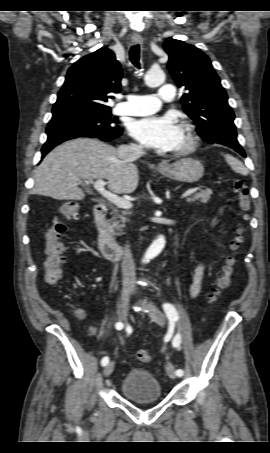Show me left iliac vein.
Masks as SVG:
<instances>
[{
    "label": "left iliac vein",
    "mask_w": 270,
    "mask_h": 453,
    "mask_svg": "<svg viewBox=\"0 0 270 453\" xmlns=\"http://www.w3.org/2000/svg\"><path fill=\"white\" fill-rule=\"evenodd\" d=\"M133 292L135 293L136 292V289L133 288ZM150 318L152 320H154L157 324H159L160 326H164L165 325V316L164 314L158 310L156 307L154 306H150L149 307V312H148ZM166 370H167V374L170 378L172 379H175L176 378V372H175V367L173 366L172 363H167V366H166Z\"/></svg>",
    "instance_id": "4c4485c4"
}]
</instances>
